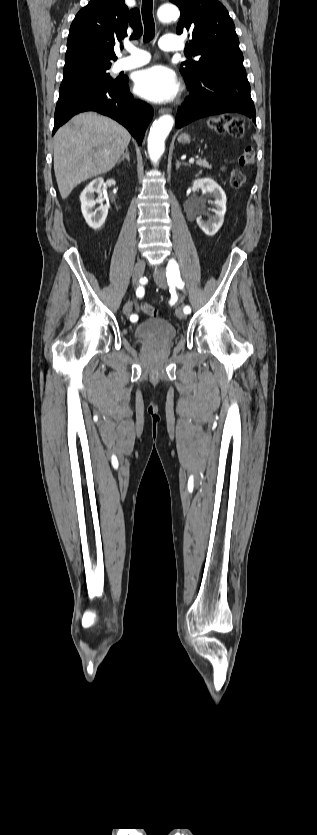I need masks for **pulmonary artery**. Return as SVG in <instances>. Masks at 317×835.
<instances>
[{"instance_id": "1", "label": "pulmonary artery", "mask_w": 317, "mask_h": 835, "mask_svg": "<svg viewBox=\"0 0 317 835\" xmlns=\"http://www.w3.org/2000/svg\"><path fill=\"white\" fill-rule=\"evenodd\" d=\"M159 47L164 51H179L182 45L175 35H164L159 42ZM128 55L116 61L115 68L118 71L130 70L145 65L150 60V55L143 49L128 44L125 46Z\"/></svg>"}]
</instances>
